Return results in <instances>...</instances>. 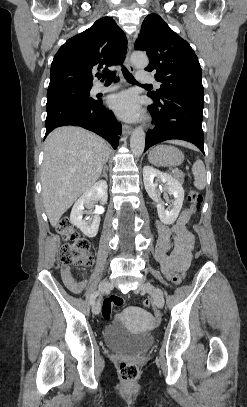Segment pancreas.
Returning a JSON list of instances; mask_svg holds the SVG:
<instances>
[{
	"mask_svg": "<svg viewBox=\"0 0 247 407\" xmlns=\"http://www.w3.org/2000/svg\"><path fill=\"white\" fill-rule=\"evenodd\" d=\"M172 174L180 183L184 182V174L181 171H173Z\"/></svg>",
	"mask_w": 247,
	"mask_h": 407,
	"instance_id": "1",
	"label": "pancreas"
}]
</instances>
